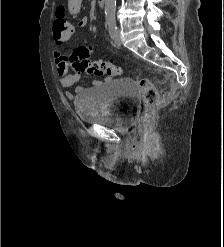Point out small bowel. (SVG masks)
<instances>
[{"label":"small bowel","instance_id":"1","mask_svg":"<svg viewBox=\"0 0 224 247\" xmlns=\"http://www.w3.org/2000/svg\"><path fill=\"white\" fill-rule=\"evenodd\" d=\"M81 0H69V6L73 13L79 12ZM88 24V17L84 16L79 19L75 29L84 28ZM53 42L57 47H61L66 41L59 40L53 37ZM54 62L56 66L57 74L60 78V83L64 88L71 87L76 81H78L80 74L69 73L68 57L60 49L54 51ZM76 92H80V88L76 89ZM67 99L72 100L75 94L71 91L65 93Z\"/></svg>","mask_w":224,"mask_h":247}]
</instances>
